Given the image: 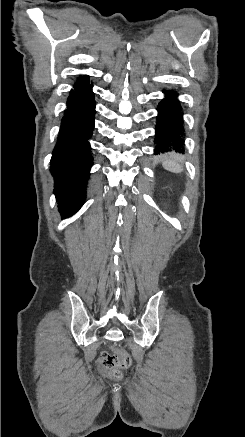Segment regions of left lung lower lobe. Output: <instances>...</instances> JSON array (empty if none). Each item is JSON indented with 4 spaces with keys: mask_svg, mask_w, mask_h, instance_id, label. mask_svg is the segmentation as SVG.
<instances>
[{
    "mask_svg": "<svg viewBox=\"0 0 245 437\" xmlns=\"http://www.w3.org/2000/svg\"><path fill=\"white\" fill-rule=\"evenodd\" d=\"M166 98L158 106L155 131V154L184 151V128L180 104L174 91H164Z\"/></svg>",
    "mask_w": 245,
    "mask_h": 437,
    "instance_id": "obj_1",
    "label": "left lung lower lobe"
}]
</instances>
